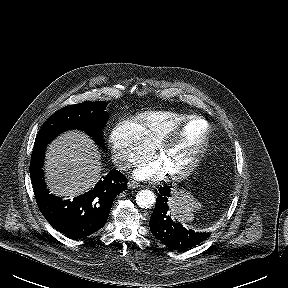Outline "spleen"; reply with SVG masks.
I'll return each instance as SVG.
<instances>
[{
  "instance_id": "spleen-1",
  "label": "spleen",
  "mask_w": 288,
  "mask_h": 288,
  "mask_svg": "<svg viewBox=\"0 0 288 288\" xmlns=\"http://www.w3.org/2000/svg\"><path fill=\"white\" fill-rule=\"evenodd\" d=\"M169 204L172 216L182 224L191 222L194 218V210L201 207V204L195 198L184 192H174Z\"/></svg>"
}]
</instances>
